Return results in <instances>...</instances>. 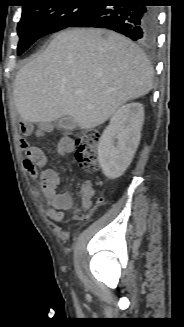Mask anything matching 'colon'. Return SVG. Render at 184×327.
<instances>
[{
	"label": "colon",
	"instance_id": "obj_1",
	"mask_svg": "<svg viewBox=\"0 0 184 327\" xmlns=\"http://www.w3.org/2000/svg\"><path fill=\"white\" fill-rule=\"evenodd\" d=\"M24 125L21 124L20 128ZM100 135L96 130H86L75 137L76 159L84 168H94L97 165V151ZM21 148L25 150L27 144L21 141ZM93 193L89 185L82 189L83 195L91 196Z\"/></svg>",
	"mask_w": 184,
	"mask_h": 327
}]
</instances>
